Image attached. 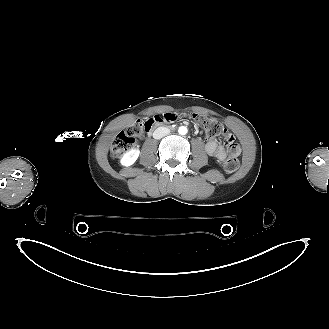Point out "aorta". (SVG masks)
<instances>
[{
    "label": "aorta",
    "mask_w": 329,
    "mask_h": 329,
    "mask_svg": "<svg viewBox=\"0 0 329 329\" xmlns=\"http://www.w3.org/2000/svg\"><path fill=\"white\" fill-rule=\"evenodd\" d=\"M178 133L180 135H186L188 133V129L186 126H180L178 129Z\"/></svg>",
    "instance_id": "obj_1"
}]
</instances>
